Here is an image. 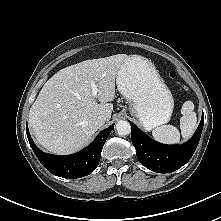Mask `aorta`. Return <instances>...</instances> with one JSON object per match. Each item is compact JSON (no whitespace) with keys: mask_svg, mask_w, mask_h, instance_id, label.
Returning a JSON list of instances; mask_svg holds the SVG:
<instances>
[{"mask_svg":"<svg viewBox=\"0 0 221 221\" xmlns=\"http://www.w3.org/2000/svg\"><path fill=\"white\" fill-rule=\"evenodd\" d=\"M115 129L120 136L128 135L131 132L130 123L126 120L117 121Z\"/></svg>","mask_w":221,"mask_h":221,"instance_id":"aorta-1","label":"aorta"}]
</instances>
